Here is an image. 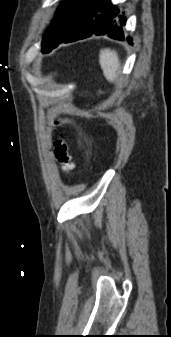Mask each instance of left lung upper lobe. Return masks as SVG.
I'll return each mask as SVG.
<instances>
[{
    "label": "left lung upper lobe",
    "mask_w": 171,
    "mask_h": 337,
    "mask_svg": "<svg viewBox=\"0 0 171 337\" xmlns=\"http://www.w3.org/2000/svg\"><path fill=\"white\" fill-rule=\"evenodd\" d=\"M86 0H64L59 6L54 23L47 29L42 41V52L48 53L65 38L81 17Z\"/></svg>",
    "instance_id": "obj_1"
}]
</instances>
